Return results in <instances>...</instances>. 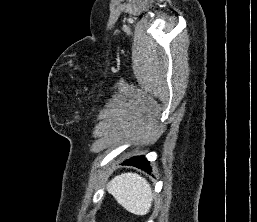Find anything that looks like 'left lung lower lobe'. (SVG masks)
Returning <instances> with one entry per match:
<instances>
[{
	"label": "left lung lower lobe",
	"instance_id": "left-lung-lower-lobe-1",
	"mask_svg": "<svg viewBox=\"0 0 257 222\" xmlns=\"http://www.w3.org/2000/svg\"><path fill=\"white\" fill-rule=\"evenodd\" d=\"M123 164L124 165H132V166L138 167L140 169H143L149 173L151 172L149 162L147 161V159L144 156L133 157L131 159L126 160Z\"/></svg>",
	"mask_w": 257,
	"mask_h": 222
}]
</instances>
